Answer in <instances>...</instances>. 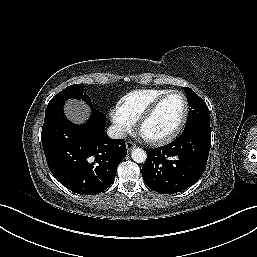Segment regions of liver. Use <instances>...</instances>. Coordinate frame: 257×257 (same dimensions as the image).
I'll use <instances>...</instances> for the list:
<instances>
[{
    "mask_svg": "<svg viewBox=\"0 0 257 257\" xmlns=\"http://www.w3.org/2000/svg\"><path fill=\"white\" fill-rule=\"evenodd\" d=\"M64 111L67 118L76 124H83L90 116L88 106L81 100H68Z\"/></svg>",
    "mask_w": 257,
    "mask_h": 257,
    "instance_id": "liver-1",
    "label": "liver"
}]
</instances>
